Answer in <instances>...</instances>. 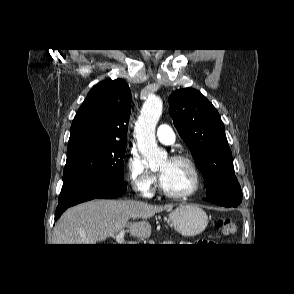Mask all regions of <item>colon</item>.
<instances>
[{
    "label": "colon",
    "instance_id": "5ec220e1",
    "mask_svg": "<svg viewBox=\"0 0 294 294\" xmlns=\"http://www.w3.org/2000/svg\"><path fill=\"white\" fill-rule=\"evenodd\" d=\"M215 226L222 234L231 236L236 232L237 222L232 219L222 218L215 221Z\"/></svg>",
    "mask_w": 294,
    "mask_h": 294
}]
</instances>
